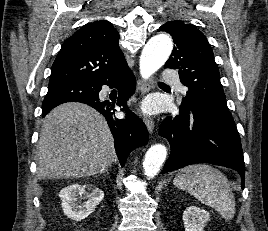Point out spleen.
<instances>
[{
    "instance_id": "obj_1",
    "label": "spleen",
    "mask_w": 268,
    "mask_h": 231,
    "mask_svg": "<svg viewBox=\"0 0 268 231\" xmlns=\"http://www.w3.org/2000/svg\"><path fill=\"white\" fill-rule=\"evenodd\" d=\"M173 184L214 208L226 220L234 217V194L227 178L219 170L206 164H193L181 169Z\"/></svg>"
}]
</instances>
